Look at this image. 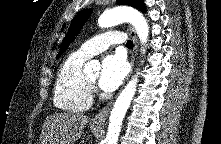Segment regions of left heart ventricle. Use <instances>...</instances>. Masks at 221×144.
Listing matches in <instances>:
<instances>
[{"instance_id":"obj_1","label":"left heart ventricle","mask_w":221,"mask_h":144,"mask_svg":"<svg viewBox=\"0 0 221 144\" xmlns=\"http://www.w3.org/2000/svg\"><path fill=\"white\" fill-rule=\"evenodd\" d=\"M96 78H97V76H91L89 79L94 81V80H96Z\"/></svg>"}]
</instances>
